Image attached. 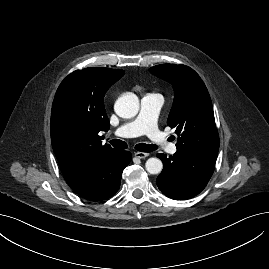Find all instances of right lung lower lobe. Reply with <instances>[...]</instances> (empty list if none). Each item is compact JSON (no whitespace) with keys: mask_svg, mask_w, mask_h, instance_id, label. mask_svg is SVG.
I'll return each instance as SVG.
<instances>
[{"mask_svg":"<svg viewBox=\"0 0 269 269\" xmlns=\"http://www.w3.org/2000/svg\"><path fill=\"white\" fill-rule=\"evenodd\" d=\"M130 161L129 151L118 150L99 162L63 175L67 184L78 195L88 200L100 201L118 191L122 172Z\"/></svg>","mask_w":269,"mask_h":269,"instance_id":"right-lung-lower-lobe-1","label":"right lung lower lobe"}]
</instances>
